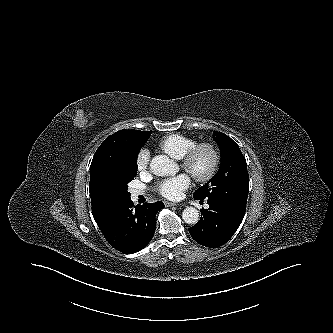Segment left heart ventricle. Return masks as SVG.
I'll return each instance as SVG.
<instances>
[{
    "instance_id": "1",
    "label": "left heart ventricle",
    "mask_w": 333,
    "mask_h": 333,
    "mask_svg": "<svg viewBox=\"0 0 333 333\" xmlns=\"http://www.w3.org/2000/svg\"><path fill=\"white\" fill-rule=\"evenodd\" d=\"M209 162V154L207 152H200L194 161L193 170L197 173H203L208 168Z\"/></svg>"
}]
</instances>
